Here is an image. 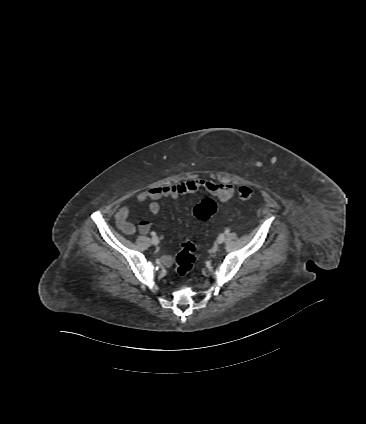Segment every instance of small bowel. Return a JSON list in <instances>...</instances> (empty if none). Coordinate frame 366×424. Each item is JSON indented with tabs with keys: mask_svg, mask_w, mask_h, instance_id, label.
I'll return each mask as SVG.
<instances>
[{
	"mask_svg": "<svg viewBox=\"0 0 366 424\" xmlns=\"http://www.w3.org/2000/svg\"><path fill=\"white\" fill-rule=\"evenodd\" d=\"M204 191L211 196L218 198L220 201H229L235 194V188L230 183L214 182L201 178L188 179L177 184H168L159 187L147 189L139 193L132 204H141L149 201L148 210L152 215L158 214L160 210L159 201L165 197L177 198L182 195L192 194L197 191ZM131 205L121 207L116 215L115 221L119 230L125 235L132 236L136 232L135 225L129 220ZM150 223L141 221L138 225L140 233L146 234L150 230ZM164 266L168 267L172 264L170 256L162 258Z\"/></svg>",
	"mask_w": 366,
	"mask_h": 424,
	"instance_id": "1",
	"label": "small bowel"
}]
</instances>
